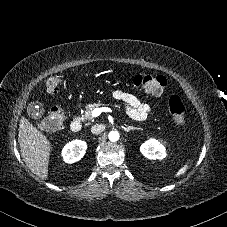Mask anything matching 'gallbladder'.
Listing matches in <instances>:
<instances>
[{
	"mask_svg": "<svg viewBox=\"0 0 227 227\" xmlns=\"http://www.w3.org/2000/svg\"><path fill=\"white\" fill-rule=\"evenodd\" d=\"M27 113L30 117L41 116L43 114V106L39 102H31L27 107Z\"/></svg>",
	"mask_w": 227,
	"mask_h": 227,
	"instance_id": "1",
	"label": "gallbladder"
}]
</instances>
